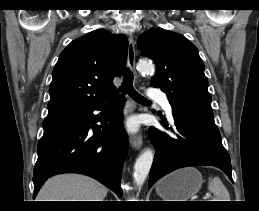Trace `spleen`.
I'll return each mask as SVG.
<instances>
[{"mask_svg": "<svg viewBox=\"0 0 259 211\" xmlns=\"http://www.w3.org/2000/svg\"><path fill=\"white\" fill-rule=\"evenodd\" d=\"M208 189L215 195L213 201H230V194L219 177H210Z\"/></svg>", "mask_w": 259, "mask_h": 211, "instance_id": "3e777b00", "label": "spleen"}]
</instances>
